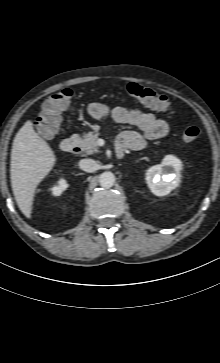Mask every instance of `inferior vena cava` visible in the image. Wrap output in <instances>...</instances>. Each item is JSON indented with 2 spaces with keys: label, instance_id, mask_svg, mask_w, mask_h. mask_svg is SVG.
Segmentation results:
<instances>
[{
  "label": "inferior vena cava",
  "instance_id": "inferior-vena-cava-1",
  "mask_svg": "<svg viewBox=\"0 0 220 363\" xmlns=\"http://www.w3.org/2000/svg\"><path fill=\"white\" fill-rule=\"evenodd\" d=\"M79 167L85 172H94L98 169V164L93 159H82L79 161Z\"/></svg>",
  "mask_w": 220,
  "mask_h": 363
}]
</instances>
